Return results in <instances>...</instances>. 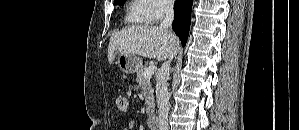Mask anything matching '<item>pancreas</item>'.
<instances>
[{
	"instance_id": "cf45deb5",
	"label": "pancreas",
	"mask_w": 299,
	"mask_h": 130,
	"mask_svg": "<svg viewBox=\"0 0 299 130\" xmlns=\"http://www.w3.org/2000/svg\"><path fill=\"white\" fill-rule=\"evenodd\" d=\"M147 66H141L137 70L136 82L138 83V88L142 91V94L145 98V103L147 105L146 113L151 116L154 114L155 109V99L153 87L150 82V79L145 77L144 72L147 69Z\"/></svg>"
}]
</instances>
